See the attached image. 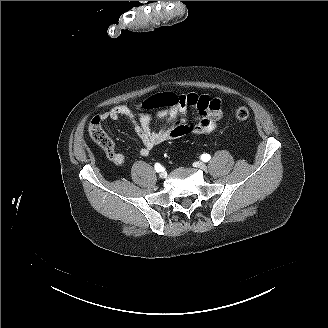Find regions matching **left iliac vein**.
I'll list each match as a JSON object with an SVG mask.
<instances>
[{
  "mask_svg": "<svg viewBox=\"0 0 328 328\" xmlns=\"http://www.w3.org/2000/svg\"><path fill=\"white\" fill-rule=\"evenodd\" d=\"M193 165L201 170H207V166L203 162H194Z\"/></svg>",
  "mask_w": 328,
  "mask_h": 328,
  "instance_id": "obj_1",
  "label": "left iliac vein"
}]
</instances>
